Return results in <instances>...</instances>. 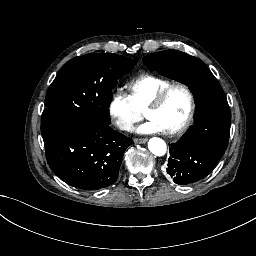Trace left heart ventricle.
Segmentation results:
<instances>
[{"label":"left heart ventricle","mask_w":256,"mask_h":256,"mask_svg":"<svg viewBox=\"0 0 256 256\" xmlns=\"http://www.w3.org/2000/svg\"><path fill=\"white\" fill-rule=\"evenodd\" d=\"M189 99L180 87L175 86L169 93L163 106L151 112V117L163 120L169 131L176 127L187 115Z\"/></svg>","instance_id":"b2bd125f"}]
</instances>
